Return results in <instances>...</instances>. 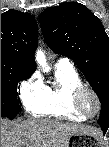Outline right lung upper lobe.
I'll use <instances>...</instances> for the list:
<instances>
[{
    "mask_svg": "<svg viewBox=\"0 0 109 147\" xmlns=\"http://www.w3.org/2000/svg\"><path fill=\"white\" fill-rule=\"evenodd\" d=\"M38 26L29 14L9 10L1 14V60L35 71Z\"/></svg>",
    "mask_w": 109,
    "mask_h": 147,
    "instance_id": "obj_1",
    "label": "right lung upper lobe"
}]
</instances>
